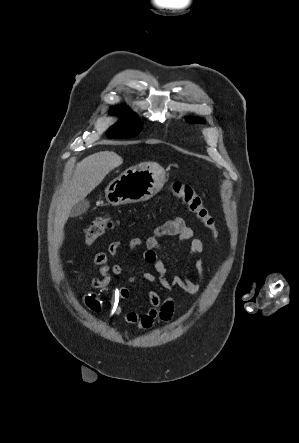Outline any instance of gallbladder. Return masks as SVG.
Returning a JSON list of instances; mask_svg holds the SVG:
<instances>
[{
	"instance_id": "1",
	"label": "gallbladder",
	"mask_w": 299,
	"mask_h": 443,
	"mask_svg": "<svg viewBox=\"0 0 299 443\" xmlns=\"http://www.w3.org/2000/svg\"><path fill=\"white\" fill-rule=\"evenodd\" d=\"M90 207L88 200L83 199L76 204H74L70 210V216L76 217L84 214Z\"/></svg>"
}]
</instances>
